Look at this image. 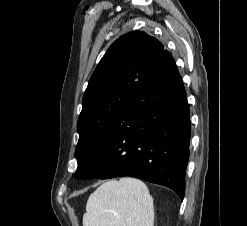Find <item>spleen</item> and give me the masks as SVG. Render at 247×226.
Instances as JSON below:
<instances>
[{"mask_svg":"<svg viewBox=\"0 0 247 226\" xmlns=\"http://www.w3.org/2000/svg\"><path fill=\"white\" fill-rule=\"evenodd\" d=\"M153 222V199L147 186L130 177L98 187L83 215V226H153Z\"/></svg>","mask_w":247,"mask_h":226,"instance_id":"obj_1","label":"spleen"}]
</instances>
